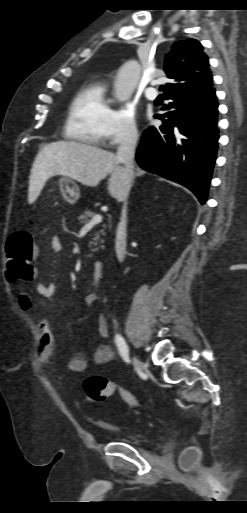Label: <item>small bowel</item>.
<instances>
[{"instance_id": "small-bowel-1", "label": "small bowel", "mask_w": 247, "mask_h": 513, "mask_svg": "<svg viewBox=\"0 0 247 513\" xmlns=\"http://www.w3.org/2000/svg\"><path fill=\"white\" fill-rule=\"evenodd\" d=\"M51 249L55 254L61 252L62 241L58 236L52 238ZM30 280L34 281L36 291L42 297H51L57 289V284L54 280L48 282L38 281L36 269H34V275ZM98 300L99 297L96 293H88L84 297V304L87 307H91L94 306ZM19 302L22 307H26L27 309L31 308L32 299L23 290L19 293ZM37 328L40 334L37 347L38 357L42 363L51 364L54 356V335L51 326L47 320L41 319L37 324ZM97 332L102 339L106 338L108 335V322L104 315H100L97 318ZM93 360L97 365L110 363L113 360L112 349L106 344H99L95 349ZM67 368L69 371L75 373L85 372L88 368V360L83 353H76L68 360Z\"/></svg>"}]
</instances>
